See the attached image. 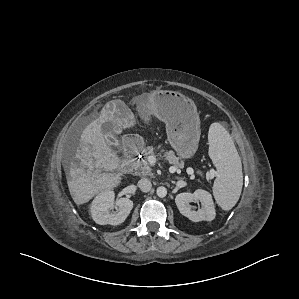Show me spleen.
I'll use <instances>...</instances> for the list:
<instances>
[{
	"instance_id": "obj_1",
	"label": "spleen",
	"mask_w": 299,
	"mask_h": 299,
	"mask_svg": "<svg viewBox=\"0 0 299 299\" xmlns=\"http://www.w3.org/2000/svg\"><path fill=\"white\" fill-rule=\"evenodd\" d=\"M209 156L217 169L213 195L223 210L232 209L241 195L243 186L242 163L227 130L218 122L208 132Z\"/></svg>"
}]
</instances>
